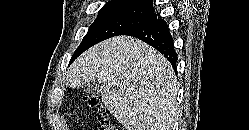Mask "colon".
Masks as SVG:
<instances>
[{"mask_svg":"<svg viewBox=\"0 0 249 130\" xmlns=\"http://www.w3.org/2000/svg\"><path fill=\"white\" fill-rule=\"evenodd\" d=\"M84 100L98 111L99 130H118L116 125L111 121L104 107L96 98L84 97Z\"/></svg>","mask_w":249,"mask_h":130,"instance_id":"obj_1","label":"colon"}]
</instances>
